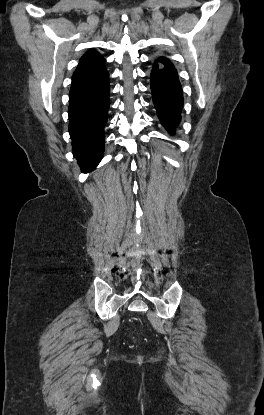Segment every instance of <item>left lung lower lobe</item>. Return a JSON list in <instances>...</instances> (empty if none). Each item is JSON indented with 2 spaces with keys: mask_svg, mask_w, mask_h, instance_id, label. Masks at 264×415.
<instances>
[{
  "mask_svg": "<svg viewBox=\"0 0 264 415\" xmlns=\"http://www.w3.org/2000/svg\"><path fill=\"white\" fill-rule=\"evenodd\" d=\"M151 91L160 121L169 132L173 133L181 119L183 95L177 72L166 58H160L154 63L151 72Z\"/></svg>",
  "mask_w": 264,
  "mask_h": 415,
  "instance_id": "1",
  "label": "left lung lower lobe"
}]
</instances>
